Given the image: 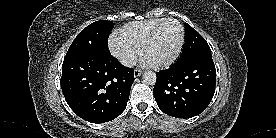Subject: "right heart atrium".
Segmentation results:
<instances>
[{
    "label": "right heart atrium",
    "mask_w": 276,
    "mask_h": 138,
    "mask_svg": "<svg viewBox=\"0 0 276 138\" xmlns=\"http://www.w3.org/2000/svg\"><path fill=\"white\" fill-rule=\"evenodd\" d=\"M112 54L125 66H132L140 55V49L113 35L109 40Z\"/></svg>",
    "instance_id": "obj_1"
}]
</instances>
